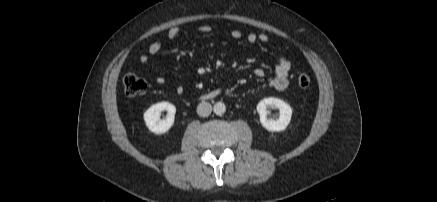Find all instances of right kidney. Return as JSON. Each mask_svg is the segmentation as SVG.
Returning a JSON list of instances; mask_svg holds the SVG:
<instances>
[{
  "mask_svg": "<svg viewBox=\"0 0 437 202\" xmlns=\"http://www.w3.org/2000/svg\"><path fill=\"white\" fill-rule=\"evenodd\" d=\"M167 111L165 119H160L161 113ZM176 108L169 102L152 105L145 113L144 120L148 129L155 134L168 132L174 123Z\"/></svg>",
  "mask_w": 437,
  "mask_h": 202,
  "instance_id": "ca27d5eb",
  "label": "right kidney"
}]
</instances>
